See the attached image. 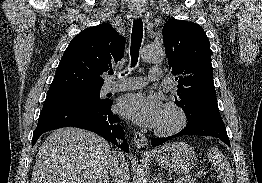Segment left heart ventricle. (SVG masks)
<instances>
[{
	"label": "left heart ventricle",
	"instance_id": "left-heart-ventricle-1",
	"mask_svg": "<svg viewBox=\"0 0 262 183\" xmlns=\"http://www.w3.org/2000/svg\"><path fill=\"white\" fill-rule=\"evenodd\" d=\"M177 121L176 114L172 110L164 109L157 128H170Z\"/></svg>",
	"mask_w": 262,
	"mask_h": 183
}]
</instances>
